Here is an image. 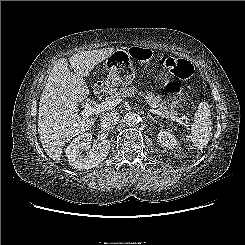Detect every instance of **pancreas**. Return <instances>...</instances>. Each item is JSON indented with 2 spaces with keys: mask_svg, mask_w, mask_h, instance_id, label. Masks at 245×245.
I'll return each mask as SVG.
<instances>
[{
  "mask_svg": "<svg viewBox=\"0 0 245 245\" xmlns=\"http://www.w3.org/2000/svg\"><path fill=\"white\" fill-rule=\"evenodd\" d=\"M136 92L135 87H124L120 88L117 92L111 93V96H109L108 100H116L124 96H130ZM139 94L144 96L145 102L150 105L152 108H157L159 111H162L164 113H169L168 111V105L166 101H163L161 97L155 96L154 93L149 92L147 94H144V92H140Z\"/></svg>",
  "mask_w": 245,
  "mask_h": 245,
  "instance_id": "obj_1",
  "label": "pancreas"
}]
</instances>
